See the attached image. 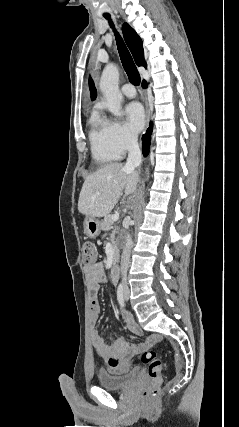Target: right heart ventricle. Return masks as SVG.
<instances>
[{
    "mask_svg": "<svg viewBox=\"0 0 239 427\" xmlns=\"http://www.w3.org/2000/svg\"><path fill=\"white\" fill-rule=\"evenodd\" d=\"M89 139L93 159L100 164H106L117 160L120 156L109 143L105 123L97 113L90 119Z\"/></svg>",
    "mask_w": 239,
    "mask_h": 427,
    "instance_id": "obj_1",
    "label": "right heart ventricle"
}]
</instances>
